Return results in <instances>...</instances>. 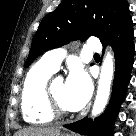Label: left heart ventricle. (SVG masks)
<instances>
[{
  "instance_id": "obj_1",
  "label": "left heart ventricle",
  "mask_w": 136,
  "mask_h": 136,
  "mask_svg": "<svg viewBox=\"0 0 136 136\" xmlns=\"http://www.w3.org/2000/svg\"><path fill=\"white\" fill-rule=\"evenodd\" d=\"M54 96L59 104L66 110H70L65 103V83L62 81H54L52 85Z\"/></svg>"
}]
</instances>
